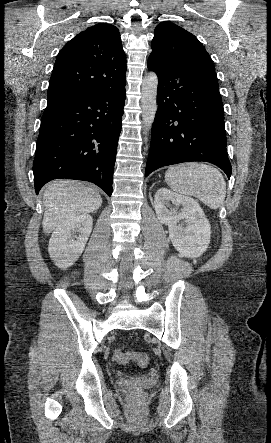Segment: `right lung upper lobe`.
Masks as SVG:
<instances>
[{
    "label": "right lung upper lobe",
    "instance_id": "right-lung-upper-lobe-1",
    "mask_svg": "<svg viewBox=\"0 0 271 443\" xmlns=\"http://www.w3.org/2000/svg\"><path fill=\"white\" fill-rule=\"evenodd\" d=\"M126 56L119 30L106 23L87 28L59 52L49 81L48 101L126 83Z\"/></svg>",
    "mask_w": 271,
    "mask_h": 443
}]
</instances>
